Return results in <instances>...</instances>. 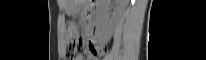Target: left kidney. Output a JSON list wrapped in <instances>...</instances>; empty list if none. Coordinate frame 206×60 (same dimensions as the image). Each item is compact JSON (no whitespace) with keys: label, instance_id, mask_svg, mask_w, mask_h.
Returning <instances> with one entry per match:
<instances>
[{"label":"left kidney","instance_id":"obj_1","mask_svg":"<svg viewBox=\"0 0 206 60\" xmlns=\"http://www.w3.org/2000/svg\"><path fill=\"white\" fill-rule=\"evenodd\" d=\"M108 2L109 0H102L97 8L98 29L105 41L111 38L117 19L124 10L126 4L125 0H117V7L110 16L107 8Z\"/></svg>","mask_w":206,"mask_h":60}]
</instances>
